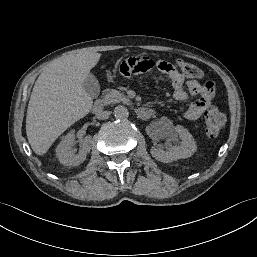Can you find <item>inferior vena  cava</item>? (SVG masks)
<instances>
[{
  "label": "inferior vena cava",
  "mask_w": 257,
  "mask_h": 257,
  "mask_svg": "<svg viewBox=\"0 0 257 257\" xmlns=\"http://www.w3.org/2000/svg\"><path fill=\"white\" fill-rule=\"evenodd\" d=\"M110 114H111V112L110 111H98L97 113H96V117L98 118V119H108L109 118V116H110Z\"/></svg>",
  "instance_id": "1"
}]
</instances>
